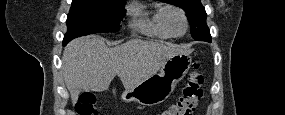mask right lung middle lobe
Segmentation results:
<instances>
[{
  "instance_id": "dd1d6c3e",
  "label": "right lung middle lobe",
  "mask_w": 285,
  "mask_h": 115,
  "mask_svg": "<svg viewBox=\"0 0 285 115\" xmlns=\"http://www.w3.org/2000/svg\"><path fill=\"white\" fill-rule=\"evenodd\" d=\"M124 5L125 0H72L63 45L79 36L118 31Z\"/></svg>"
}]
</instances>
